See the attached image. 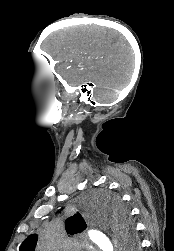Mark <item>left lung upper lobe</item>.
<instances>
[{
  "label": "left lung upper lobe",
  "mask_w": 174,
  "mask_h": 251,
  "mask_svg": "<svg viewBox=\"0 0 174 251\" xmlns=\"http://www.w3.org/2000/svg\"><path fill=\"white\" fill-rule=\"evenodd\" d=\"M107 211L113 216L115 226L123 232L124 238L131 243H135L133 237V226L128 219V212L122 206L118 197L108 198ZM86 228V223L79 213L66 220V230L69 234H74ZM37 243V235H30L20 246V251H34Z\"/></svg>",
  "instance_id": "1"
}]
</instances>
